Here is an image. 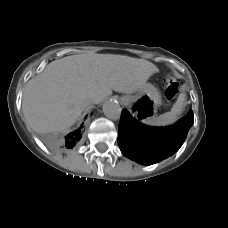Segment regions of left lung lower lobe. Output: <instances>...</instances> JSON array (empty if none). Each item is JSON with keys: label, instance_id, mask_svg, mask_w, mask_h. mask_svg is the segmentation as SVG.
<instances>
[{"label": "left lung lower lobe", "instance_id": "1", "mask_svg": "<svg viewBox=\"0 0 228 228\" xmlns=\"http://www.w3.org/2000/svg\"><path fill=\"white\" fill-rule=\"evenodd\" d=\"M193 122V112L190 111L174 125L150 127L123 110L118 129L120 150L141 164L159 162L179 150Z\"/></svg>", "mask_w": 228, "mask_h": 228}]
</instances>
